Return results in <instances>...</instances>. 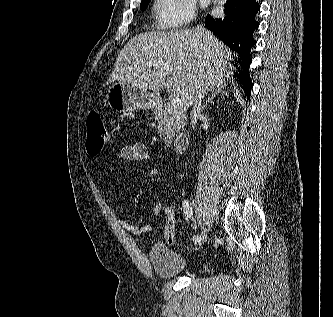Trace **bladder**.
I'll return each mask as SVG.
<instances>
[{"mask_svg": "<svg viewBox=\"0 0 333 317\" xmlns=\"http://www.w3.org/2000/svg\"><path fill=\"white\" fill-rule=\"evenodd\" d=\"M154 272L160 277L170 278L189 271L191 262L165 244H155L149 252Z\"/></svg>", "mask_w": 333, "mask_h": 317, "instance_id": "obj_1", "label": "bladder"}]
</instances>
